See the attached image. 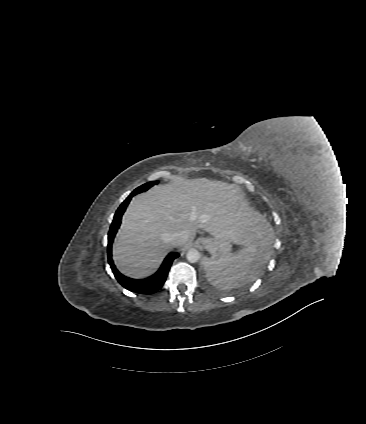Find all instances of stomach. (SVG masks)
Masks as SVG:
<instances>
[{
  "label": "stomach",
  "mask_w": 366,
  "mask_h": 424,
  "mask_svg": "<svg viewBox=\"0 0 366 424\" xmlns=\"http://www.w3.org/2000/svg\"><path fill=\"white\" fill-rule=\"evenodd\" d=\"M200 244L215 258L226 256L232 248V243L229 240L218 237H203L200 239Z\"/></svg>",
  "instance_id": "stomach-1"
}]
</instances>
